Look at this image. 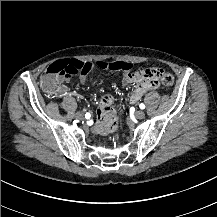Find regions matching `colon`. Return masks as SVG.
<instances>
[{
	"mask_svg": "<svg viewBox=\"0 0 217 217\" xmlns=\"http://www.w3.org/2000/svg\"><path fill=\"white\" fill-rule=\"evenodd\" d=\"M107 69L110 71H125L131 68V64L126 61H95L92 63L66 62L58 61L47 67L40 79L41 88L50 96H59L67 85V80L64 76L74 74H87L91 70ZM161 68H149L140 66L134 73V78L138 83L142 80L151 81L157 79ZM165 86L174 84V77L171 74L163 77Z\"/></svg>",
	"mask_w": 217,
	"mask_h": 217,
	"instance_id": "1",
	"label": "colon"
}]
</instances>
